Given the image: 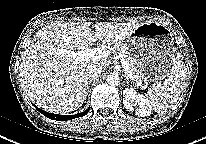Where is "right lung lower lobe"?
Returning <instances> with one entry per match:
<instances>
[{
    "label": "right lung lower lobe",
    "mask_w": 206,
    "mask_h": 144,
    "mask_svg": "<svg viewBox=\"0 0 206 144\" xmlns=\"http://www.w3.org/2000/svg\"><path fill=\"white\" fill-rule=\"evenodd\" d=\"M36 109L43 114L44 116L52 119V120H58V121H64V120H71V119H75V118H79L82 117L83 115H86L89 112V109H86L84 112L82 113H78L75 115H58V114H52V113H48L38 107H36Z\"/></svg>",
    "instance_id": "1"
}]
</instances>
